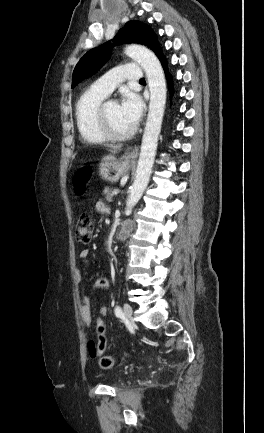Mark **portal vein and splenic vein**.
<instances>
[{
	"mask_svg": "<svg viewBox=\"0 0 264 433\" xmlns=\"http://www.w3.org/2000/svg\"><path fill=\"white\" fill-rule=\"evenodd\" d=\"M119 193V190L118 189H115L114 191H113V195H117Z\"/></svg>",
	"mask_w": 264,
	"mask_h": 433,
	"instance_id": "obj_1",
	"label": "portal vein and splenic vein"
}]
</instances>
